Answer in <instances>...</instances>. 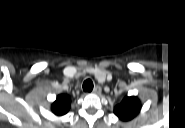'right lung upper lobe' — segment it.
Returning a JSON list of instances; mask_svg holds the SVG:
<instances>
[{"label":"right lung upper lobe","mask_w":185,"mask_h":128,"mask_svg":"<svg viewBox=\"0 0 185 128\" xmlns=\"http://www.w3.org/2000/svg\"><path fill=\"white\" fill-rule=\"evenodd\" d=\"M70 108V101L67 96L60 95L52 105V110L57 115H63L68 112Z\"/></svg>","instance_id":"1"}]
</instances>
